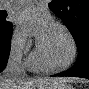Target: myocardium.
<instances>
[{
  "instance_id": "1",
  "label": "myocardium",
  "mask_w": 89,
  "mask_h": 89,
  "mask_svg": "<svg viewBox=\"0 0 89 89\" xmlns=\"http://www.w3.org/2000/svg\"><path fill=\"white\" fill-rule=\"evenodd\" d=\"M53 25L62 29L64 31V33L67 35V37L71 43V48H72L70 59L66 63L61 64V65H53V64L49 63L42 53L39 41H37V43H36V55L38 56L39 60L45 67V70L59 71V70L67 69L74 64L76 57H77V44H76L73 34L71 33V31L65 24H63L61 22H54Z\"/></svg>"
}]
</instances>
